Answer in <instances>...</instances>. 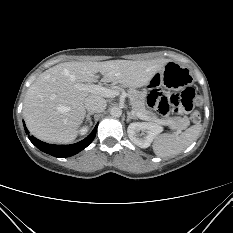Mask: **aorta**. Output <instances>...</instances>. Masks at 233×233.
Wrapping results in <instances>:
<instances>
[{
    "mask_svg": "<svg viewBox=\"0 0 233 233\" xmlns=\"http://www.w3.org/2000/svg\"><path fill=\"white\" fill-rule=\"evenodd\" d=\"M110 115L115 118L120 117L122 115V109L120 107H112Z\"/></svg>",
    "mask_w": 233,
    "mask_h": 233,
    "instance_id": "obj_1",
    "label": "aorta"
}]
</instances>
